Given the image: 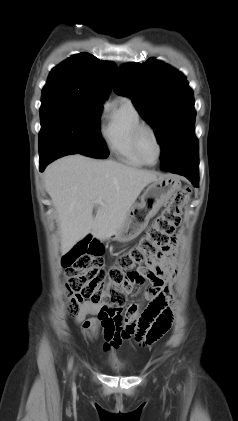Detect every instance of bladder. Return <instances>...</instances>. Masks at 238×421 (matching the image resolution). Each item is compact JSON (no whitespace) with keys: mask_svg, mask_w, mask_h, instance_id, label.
Segmentation results:
<instances>
[{"mask_svg":"<svg viewBox=\"0 0 238 421\" xmlns=\"http://www.w3.org/2000/svg\"><path fill=\"white\" fill-rule=\"evenodd\" d=\"M110 367L115 372H123L125 370V367L119 363L116 362H110Z\"/></svg>","mask_w":238,"mask_h":421,"instance_id":"1","label":"bladder"}]
</instances>
